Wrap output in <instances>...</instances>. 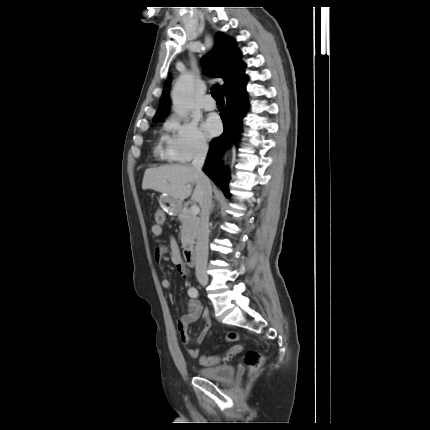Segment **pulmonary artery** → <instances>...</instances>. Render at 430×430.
Listing matches in <instances>:
<instances>
[{
  "mask_svg": "<svg viewBox=\"0 0 430 430\" xmlns=\"http://www.w3.org/2000/svg\"><path fill=\"white\" fill-rule=\"evenodd\" d=\"M202 107L207 111H211L216 108V103L210 95H207L204 97Z\"/></svg>",
  "mask_w": 430,
  "mask_h": 430,
  "instance_id": "e3ab8cb5",
  "label": "pulmonary artery"
}]
</instances>
